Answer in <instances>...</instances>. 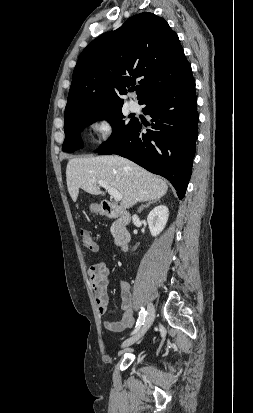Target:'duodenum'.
I'll return each instance as SVG.
<instances>
[{"mask_svg": "<svg viewBox=\"0 0 253 413\" xmlns=\"http://www.w3.org/2000/svg\"><path fill=\"white\" fill-rule=\"evenodd\" d=\"M101 210L105 216L115 220L114 242L122 250H127L130 242V234L126 228L130 222V215L121 207L104 201L101 204Z\"/></svg>", "mask_w": 253, "mask_h": 413, "instance_id": "obj_1", "label": "duodenum"}]
</instances>
